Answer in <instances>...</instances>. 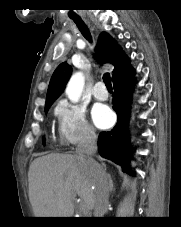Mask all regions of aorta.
<instances>
[{"mask_svg": "<svg viewBox=\"0 0 181 227\" xmlns=\"http://www.w3.org/2000/svg\"><path fill=\"white\" fill-rule=\"evenodd\" d=\"M84 83V75L81 72H76L72 75L66 87V95L70 101L74 103L78 102L84 87Z\"/></svg>", "mask_w": 181, "mask_h": 227, "instance_id": "aorta-1", "label": "aorta"}]
</instances>
